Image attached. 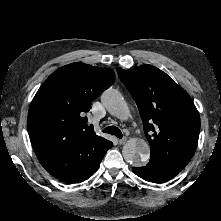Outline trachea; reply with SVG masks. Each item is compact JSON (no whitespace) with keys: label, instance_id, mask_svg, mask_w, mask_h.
I'll use <instances>...</instances> for the list:
<instances>
[{"label":"trachea","instance_id":"3493384b","mask_svg":"<svg viewBox=\"0 0 221 221\" xmlns=\"http://www.w3.org/2000/svg\"><path fill=\"white\" fill-rule=\"evenodd\" d=\"M103 132L108 133V134H112L115 135L117 138H122L123 134L120 131L119 128L115 127V126H108L106 127Z\"/></svg>","mask_w":221,"mask_h":221}]
</instances>
